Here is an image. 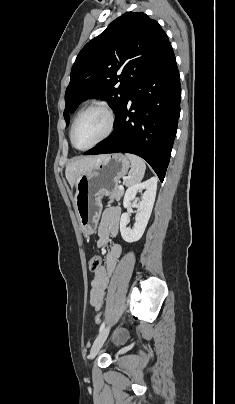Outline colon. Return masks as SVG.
Returning a JSON list of instances; mask_svg holds the SVG:
<instances>
[{
    "label": "colon",
    "instance_id": "obj_1",
    "mask_svg": "<svg viewBox=\"0 0 235 404\" xmlns=\"http://www.w3.org/2000/svg\"><path fill=\"white\" fill-rule=\"evenodd\" d=\"M101 266H102V258H101V256H99V255H94V256H92V257L90 258V260H89V269H90L91 271H96V270H98L99 268H101ZM94 321H95L96 324L101 323V321H102V315H101V313H97V314L94 316Z\"/></svg>",
    "mask_w": 235,
    "mask_h": 404
}]
</instances>
